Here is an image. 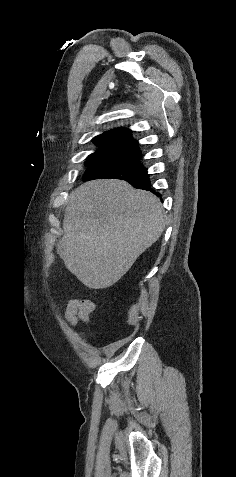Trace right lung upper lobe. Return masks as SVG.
I'll return each instance as SVG.
<instances>
[{"mask_svg":"<svg viewBox=\"0 0 236 477\" xmlns=\"http://www.w3.org/2000/svg\"><path fill=\"white\" fill-rule=\"evenodd\" d=\"M129 129H114L96 136L92 141L102 150L88 156L87 160H102L112 163L132 166L138 162L132 161L140 156L138 145L131 137Z\"/></svg>","mask_w":236,"mask_h":477,"instance_id":"1","label":"right lung upper lobe"}]
</instances>
